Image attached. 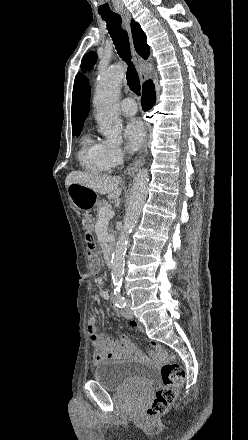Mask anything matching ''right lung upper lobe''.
<instances>
[{"label":"right lung upper lobe","instance_id":"cb5924a9","mask_svg":"<svg viewBox=\"0 0 248 440\" xmlns=\"http://www.w3.org/2000/svg\"><path fill=\"white\" fill-rule=\"evenodd\" d=\"M131 31L135 49L144 59L149 56V46L146 43V35L142 31L139 23L132 20ZM90 88L87 79L82 75H77L73 86L72 95V128L73 131L82 130L83 123L89 112Z\"/></svg>","mask_w":248,"mask_h":440}]
</instances>
